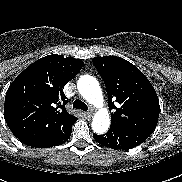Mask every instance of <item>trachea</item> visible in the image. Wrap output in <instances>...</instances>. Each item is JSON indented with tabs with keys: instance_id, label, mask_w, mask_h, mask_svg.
Instances as JSON below:
<instances>
[{
	"instance_id": "1",
	"label": "trachea",
	"mask_w": 182,
	"mask_h": 182,
	"mask_svg": "<svg viewBox=\"0 0 182 182\" xmlns=\"http://www.w3.org/2000/svg\"><path fill=\"white\" fill-rule=\"evenodd\" d=\"M73 108L75 109H81L83 111H87L88 110V106L82 102L81 100L77 99L74 101L73 103Z\"/></svg>"
}]
</instances>
